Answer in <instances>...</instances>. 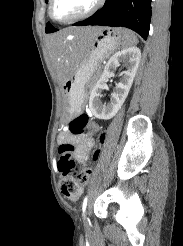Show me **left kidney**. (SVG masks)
I'll list each match as a JSON object with an SVG mask.
<instances>
[{"instance_id": "obj_1", "label": "left kidney", "mask_w": 183, "mask_h": 246, "mask_svg": "<svg viewBox=\"0 0 183 246\" xmlns=\"http://www.w3.org/2000/svg\"><path fill=\"white\" fill-rule=\"evenodd\" d=\"M140 59L141 51L137 47H129L118 51L109 59L101 77L90 93L89 108L96 118L109 120L119 111L129 93ZM122 61L126 63V71L121 74L122 78L116 84L115 91L111 94L110 102L102 104L100 96L101 91L105 88V82L107 78L114 75V71Z\"/></svg>"}]
</instances>
